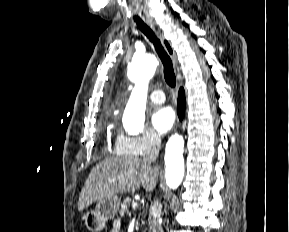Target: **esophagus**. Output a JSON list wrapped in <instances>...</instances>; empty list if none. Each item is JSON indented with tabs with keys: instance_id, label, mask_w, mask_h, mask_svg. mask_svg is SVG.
Returning a JSON list of instances; mask_svg holds the SVG:
<instances>
[{
	"instance_id": "esophagus-1",
	"label": "esophagus",
	"mask_w": 289,
	"mask_h": 232,
	"mask_svg": "<svg viewBox=\"0 0 289 232\" xmlns=\"http://www.w3.org/2000/svg\"><path fill=\"white\" fill-rule=\"evenodd\" d=\"M151 26L155 29L153 24ZM159 37L161 39V42H162L166 52L168 53V55L172 59L174 66H176L177 65V56H176V52H175L170 40L167 39L163 33H160Z\"/></svg>"
}]
</instances>
